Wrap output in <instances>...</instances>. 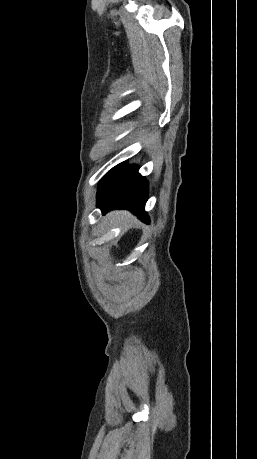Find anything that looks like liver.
Segmentation results:
<instances>
[{
    "instance_id": "1",
    "label": "liver",
    "mask_w": 257,
    "mask_h": 459,
    "mask_svg": "<svg viewBox=\"0 0 257 459\" xmlns=\"http://www.w3.org/2000/svg\"><path fill=\"white\" fill-rule=\"evenodd\" d=\"M113 218L119 220L120 222L130 221L131 216L127 212H116L114 214H110Z\"/></svg>"
}]
</instances>
